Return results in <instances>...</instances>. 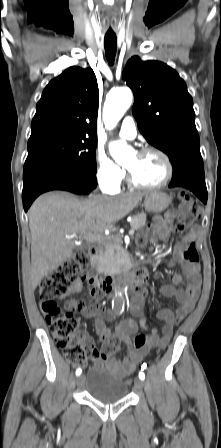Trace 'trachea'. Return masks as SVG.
<instances>
[{"label": "trachea", "instance_id": "trachea-1", "mask_svg": "<svg viewBox=\"0 0 221 448\" xmlns=\"http://www.w3.org/2000/svg\"><path fill=\"white\" fill-rule=\"evenodd\" d=\"M106 58L110 65L114 64L117 48L116 36L106 35L104 39Z\"/></svg>", "mask_w": 221, "mask_h": 448}]
</instances>
